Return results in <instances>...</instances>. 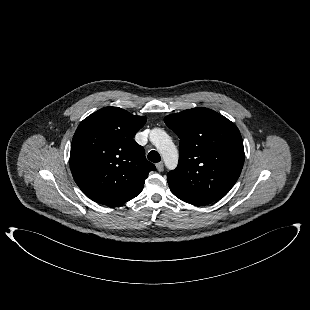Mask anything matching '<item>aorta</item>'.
<instances>
[{
	"label": "aorta",
	"mask_w": 310,
	"mask_h": 310,
	"mask_svg": "<svg viewBox=\"0 0 310 310\" xmlns=\"http://www.w3.org/2000/svg\"><path fill=\"white\" fill-rule=\"evenodd\" d=\"M150 141L161 154L168 169H174L178 163V151L170 136L160 128H154L150 132Z\"/></svg>",
	"instance_id": "obj_1"
}]
</instances>
